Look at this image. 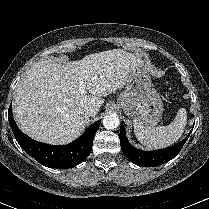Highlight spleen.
Segmentation results:
<instances>
[{"label": "spleen", "mask_w": 209, "mask_h": 209, "mask_svg": "<svg viewBox=\"0 0 209 209\" xmlns=\"http://www.w3.org/2000/svg\"><path fill=\"white\" fill-rule=\"evenodd\" d=\"M187 124V112L180 108L173 122L167 126L145 127L134 122V133L138 141L148 148H165L174 144L183 134Z\"/></svg>", "instance_id": "1"}]
</instances>
